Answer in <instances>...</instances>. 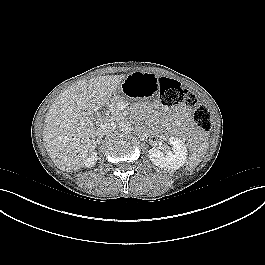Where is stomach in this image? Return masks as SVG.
<instances>
[{
	"instance_id": "1",
	"label": "stomach",
	"mask_w": 265,
	"mask_h": 265,
	"mask_svg": "<svg viewBox=\"0 0 265 265\" xmlns=\"http://www.w3.org/2000/svg\"><path fill=\"white\" fill-rule=\"evenodd\" d=\"M129 83L137 85L136 96L147 98L157 89V77L150 73L135 72L131 74L120 86V92L123 95H129Z\"/></svg>"
}]
</instances>
